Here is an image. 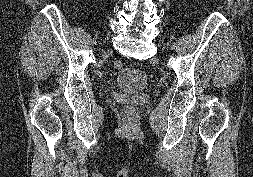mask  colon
<instances>
[{
    "instance_id": "1",
    "label": "colon",
    "mask_w": 253,
    "mask_h": 177,
    "mask_svg": "<svg viewBox=\"0 0 253 177\" xmlns=\"http://www.w3.org/2000/svg\"><path fill=\"white\" fill-rule=\"evenodd\" d=\"M114 67H115V69H117V70L122 69V68H123V62L120 61V60L115 61Z\"/></svg>"
}]
</instances>
